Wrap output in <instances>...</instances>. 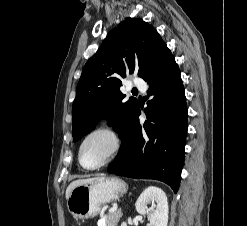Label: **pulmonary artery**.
<instances>
[{"instance_id": "1", "label": "pulmonary artery", "mask_w": 247, "mask_h": 226, "mask_svg": "<svg viewBox=\"0 0 247 226\" xmlns=\"http://www.w3.org/2000/svg\"><path fill=\"white\" fill-rule=\"evenodd\" d=\"M131 87H135L141 91H144L146 89V83L141 79H134Z\"/></svg>"}]
</instances>
